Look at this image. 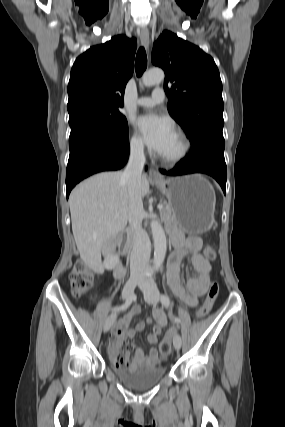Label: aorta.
Returning <instances> with one entry per match:
<instances>
[{"label": "aorta", "instance_id": "1", "mask_svg": "<svg viewBox=\"0 0 285 427\" xmlns=\"http://www.w3.org/2000/svg\"><path fill=\"white\" fill-rule=\"evenodd\" d=\"M164 77L162 69L154 68L143 75L142 83L148 87L157 85L164 80ZM151 231L154 240V264L159 268L163 264L167 251L166 236L160 222L155 219L151 221Z\"/></svg>", "mask_w": 285, "mask_h": 427}]
</instances>
